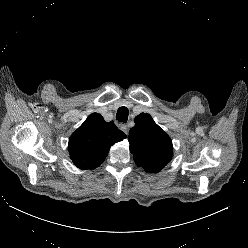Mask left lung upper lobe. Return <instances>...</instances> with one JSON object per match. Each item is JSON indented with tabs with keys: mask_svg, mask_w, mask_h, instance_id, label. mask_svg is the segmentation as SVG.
Here are the masks:
<instances>
[{
	"mask_svg": "<svg viewBox=\"0 0 248 248\" xmlns=\"http://www.w3.org/2000/svg\"><path fill=\"white\" fill-rule=\"evenodd\" d=\"M128 140L135 163L146 172L158 173L172 159L170 137L149 114L141 113L135 118Z\"/></svg>",
	"mask_w": 248,
	"mask_h": 248,
	"instance_id": "5c2ea615",
	"label": "left lung upper lobe"
}]
</instances>
